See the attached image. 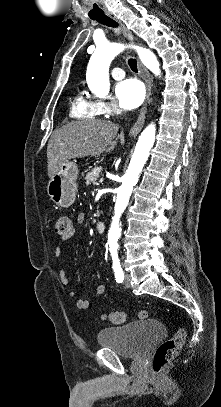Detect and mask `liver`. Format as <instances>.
Masks as SVG:
<instances>
[{
  "instance_id": "obj_1",
  "label": "liver",
  "mask_w": 221,
  "mask_h": 407,
  "mask_svg": "<svg viewBox=\"0 0 221 407\" xmlns=\"http://www.w3.org/2000/svg\"><path fill=\"white\" fill-rule=\"evenodd\" d=\"M119 126L105 120L73 121L56 129L47 145L48 176L51 179L60 166L70 159L100 155L112 151L117 140Z\"/></svg>"
}]
</instances>
